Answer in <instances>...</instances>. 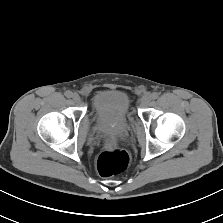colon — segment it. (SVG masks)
<instances>
[{"mask_svg": "<svg viewBox=\"0 0 223 223\" xmlns=\"http://www.w3.org/2000/svg\"><path fill=\"white\" fill-rule=\"evenodd\" d=\"M128 153L110 139L97 159V170L102 177H111L125 171L129 165Z\"/></svg>", "mask_w": 223, "mask_h": 223, "instance_id": "1", "label": "colon"}]
</instances>
